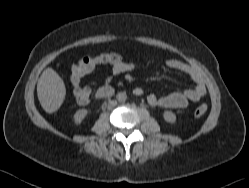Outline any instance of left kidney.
Instances as JSON below:
<instances>
[{
	"mask_svg": "<svg viewBox=\"0 0 249 188\" xmlns=\"http://www.w3.org/2000/svg\"><path fill=\"white\" fill-rule=\"evenodd\" d=\"M163 118L166 122L171 123V124L176 122V115L171 111H165L163 113Z\"/></svg>",
	"mask_w": 249,
	"mask_h": 188,
	"instance_id": "left-kidney-1",
	"label": "left kidney"
}]
</instances>
